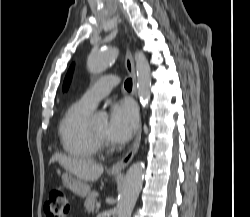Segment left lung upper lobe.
Returning a JSON list of instances; mask_svg holds the SVG:
<instances>
[{"label": "left lung upper lobe", "mask_w": 250, "mask_h": 217, "mask_svg": "<svg viewBox=\"0 0 250 217\" xmlns=\"http://www.w3.org/2000/svg\"><path fill=\"white\" fill-rule=\"evenodd\" d=\"M72 68H73V65L72 67L69 69L66 77H65V80H64V83H63V91H67L68 88H69V85H70V81H71V75H72Z\"/></svg>", "instance_id": "5c2ea615"}]
</instances>
